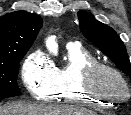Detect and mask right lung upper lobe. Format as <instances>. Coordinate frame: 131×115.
Returning <instances> with one entry per match:
<instances>
[{
	"label": "right lung upper lobe",
	"mask_w": 131,
	"mask_h": 115,
	"mask_svg": "<svg viewBox=\"0 0 131 115\" xmlns=\"http://www.w3.org/2000/svg\"><path fill=\"white\" fill-rule=\"evenodd\" d=\"M42 23L39 15L25 11L0 17V62L9 60L11 54L28 50Z\"/></svg>",
	"instance_id": "right-lung-upper-lobe-1"
}]
</instances>
